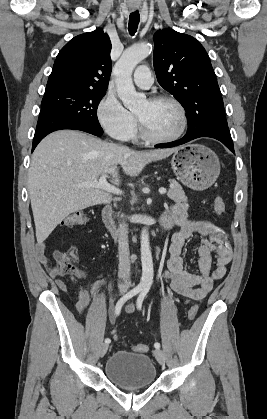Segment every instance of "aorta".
<instances>
[{
	"label": "aorta",
	"mask_w": 267,
	"mask_h": 419,
	"mask_svg": "<svg viewBox=\"0 0 267 419\" xmlns=\"http://www.w3.org/2000/svg\"><path fill=\"white\" fill-rule=\"evenodd\" d=\"M151 46L141 44L126 49L114 66L116 90L124 106L134 110L146 101L143 93L135 90L132 72L144 58L151 53ZM142 277L140 285L150 288L153 282V260L149 243V232L146 227L141 231Z\"/></svg>",
	"instance_id": "aorta-1"
}]
</instances>
